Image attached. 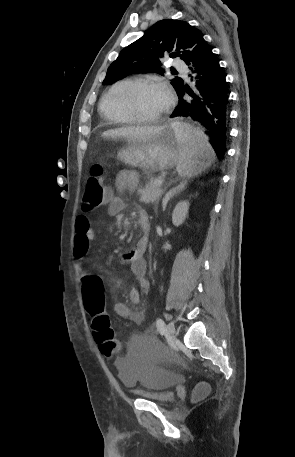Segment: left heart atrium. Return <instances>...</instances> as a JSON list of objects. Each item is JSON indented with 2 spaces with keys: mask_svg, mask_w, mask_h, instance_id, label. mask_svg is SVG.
I'll return each instance as SVG.
<instances>
[{
  "mask_svg": "<svg viewBox=\"0 0 295 457\" xmlns=\"http://www.w3.org/2000/svg\"><path fill=\"white\" fill-rule=\"evenodd\" d=\"M160 89H161V92H162V95L164 97L166 104H169L172 99L171 92L169 91V89L167 87L162 86V85L160 86Z\"/></svg>",
  "mask_w": 295,
  "mask_h": 457,
  "instance_id": "39dd6f15",
  "label": "left heart atrium"
}]
</instances>
